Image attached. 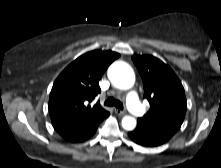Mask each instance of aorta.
Wrapping results in <instances>:
<instances>
[{"label":"aorta","mask_w":221,"mask_h":168,"mask_svg":"<svg viewBox=\"0 0 221 168\" xmlns=\"http://www.w3.org/2000/svg\"><path fill=\"white\" fill-rule=\"evenodd\" d=\"M108 78L115 87L123 90L130 89L135 83L133 69L123 61H116L109 67ZM136 124L134 117L124 116L122 119V127L127 131L133 130Z\"/></svg>","instance_id":"762f6f07"}]
</instances>
